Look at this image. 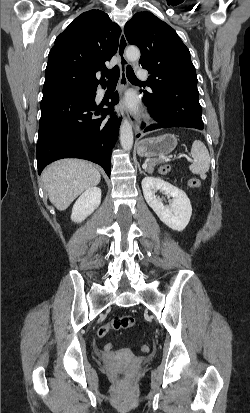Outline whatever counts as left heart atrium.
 <instances>
[{
    "mask_svg": "<svg viewBox=\"0 0 250 413\" xmlns=\"http://www.w3.org/2000/svg\"><path fill=\"white\" fill-rule=\"evenodd\" d=\"M125 103L128 107L132 109H135L137 106V101L133 95H128Z\"/></svg>",
    "mask_w": 250,
    "mask_h": 413,
    "instance_id": "obj_1",
    "label": "left heart atrium"
}]
</instances>
